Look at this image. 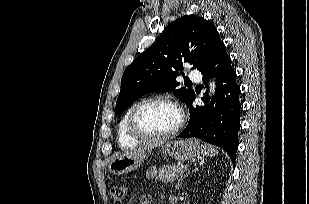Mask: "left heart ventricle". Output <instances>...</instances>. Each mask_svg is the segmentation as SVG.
<instances>
[{
	"instance_id": "b2bd125f",
	"label": "left heart ventricle",
	"mask_w": 309,
	"mask_h": 204,
	"mask_svg": "<svg viewBox=\"0 0 309 204\" xmlns=\"http://www.w3.org/2000/svg\"><path fill=\"white\" fill-rule=\"evenodd\" d=\"M177 121V111L165 104L149 105L137 117L139 128L152 135H160L170 131Z\"/></svg>"
}]
</instances>
